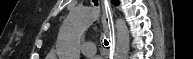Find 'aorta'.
Returning a JSON list of instances; mask_svg holds the SVG:
<instances>
[{
	"mask_svg": "<svg viewBox=\"0 0 193 59\" xmlns=\"http://www.w3.org/2000/svg\"><path fill=\"white\" fill-rule=\"evenodd\" d=\"M98 17V11L93 7L73 9L60 30L57 49L64 59H79V41L83 32L92 25ZM117 32L115 59H127L130 50V34L126 22L118 18L115 23Z\"/></svg>",
	"mask_w": 193,
	"mask_h": 59,
	"instance_id": "aorta-1",
	"label": "aorta"
}]
</instances>
